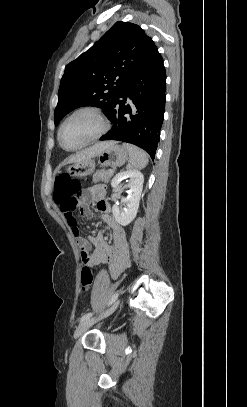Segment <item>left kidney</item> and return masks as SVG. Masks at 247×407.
<instances>
[{
  "label": "left kidney",
  "mask_w": 247,
  "mask_h": 407,
  "mask_svg": "<svg viewBox=\"0 0 247 407\" xmlns=\"http://www.w3.org/2000/svg\"><path fill=\"white\" fill-rule=\"evenodd\" d=\"M127 178L130 179L128 184L129 194L121 200L125 207L120 208L117 205L112 207L115 220L122 226L130 224L136 217L144 182L143 174L140 171L129 170L116 174L111 182V186L118 188L121 181Z\"/></svg>",
  "instance_id": "left-kidney-1"
}]
</instances>
